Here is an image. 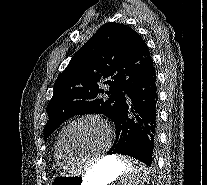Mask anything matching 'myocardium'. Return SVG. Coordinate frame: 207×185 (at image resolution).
<instances>
[{"instance_id":"myocardium-1","label":"myocardium","mask_w":207,"mask_h":185,"mask_svg":"<svg viewBox=\"0 0 207 185\" xmlns=\"http://www.w3.org/2000/svg\"><path fill=\"white\" fill-rule=\"evenodd\" d=\"M84 120H96V121L100 122L108 130L110 138H113L115 136V131H114V128L112 127V125L107 120H105L104 118H102L100 116L92 115V114H87V115H82V116H80L78 118H75L69 124L66 125V127L63 129V131L61 133V137H60L61 151L63 152V154L68 159H70L71 161H74V162H80V161H84V160H88V159L99 158V157H101L103 155V150H101L99 152H96V153H92V154H88V155H83V156H74L69 151V149L67 147V144H66V136H67L69 130L71 129V127L73 125H75L78 122L84 121Z\"/></svg>"}]
</instances>
